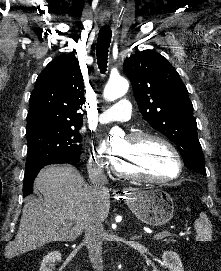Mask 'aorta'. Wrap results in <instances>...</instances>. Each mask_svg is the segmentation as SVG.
<instances>
[{"label": "aorta", "mask_w": 221, "mask_h": 271, "mask_svg": "<svg viewBox=\"0 0 221 271\" xmlns=\"http://www.w3.org/2000/svg\"><path fill=\"white\" fill-rule=\"evenodd\" d=\"M129 83L125 78L110 80L104 89V98L108 101H114L126 94ZM118 132L117 130H115Z\"/></svg>", "instance_id": "1"}]
</instances>
